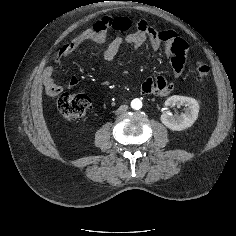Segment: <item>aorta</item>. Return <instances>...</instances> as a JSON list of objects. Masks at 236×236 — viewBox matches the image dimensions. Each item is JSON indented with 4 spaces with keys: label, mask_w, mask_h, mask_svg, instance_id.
Here are the masks:
<instances>
[{
    "label": "aorta",
    "mask_w": 236,
    "mask_h": 236,
    "mask_svg": "<svg viewBox=\"0 0 236 236\" xmlns=\"http://www.w3.org/2000/svg\"><path fill=\"white\" fill-rule=\"evenodd\" d=\"M131 107H132L133 109H135V110L141 109V108H142V101H141L140 99H138V98L133 99V100L131 101Z\"/></svg>",
    "instance_id": "762f6f07"
}]
</instances>
